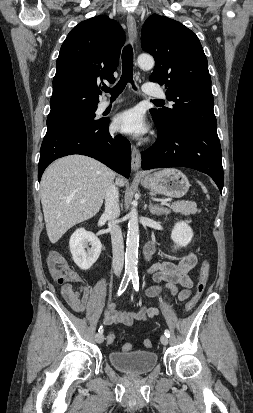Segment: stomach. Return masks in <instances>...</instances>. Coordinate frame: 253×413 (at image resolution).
<instances>
[{"label": "stomach", "instance_id": "stomach-1", "mask_svg": "<svg viewBox=\"0 0 253 413\" xmlns=\"http://www.w3.org/2000/svg\"><path fill=\"white\" fill-rule=\"evenodd\" d=\"M141 184L153 193L180 198L190 187L188 178L180 170L166 168L141 179Z\"/></svg>", "mask_w": 253, "mask_h": 413}]
</instances>
